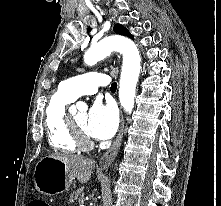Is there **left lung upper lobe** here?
I'll return each mask as SVG.
<instances>
[{"label": "left lung upper lobe", "mask_w": 221, "mask_h": 206, "mask_svg": "<svg viewBox=\"0 0 221 206\" xmlns=\"http://www.w3.org/2000/svg\"><path fill=\"white\" fill-rule=\"evenodd\" d=\"M114 31L118 34L125 35V36L130 37L131 39H134V37L129 33V31L120 24L115 25Z\"/></svg>", "instance_id": "1"}]
</instances>
